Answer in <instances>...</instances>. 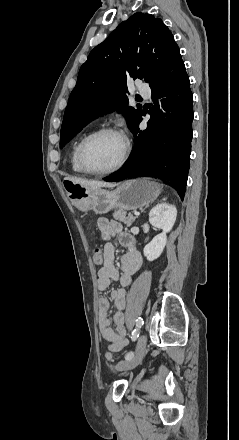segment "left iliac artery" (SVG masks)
I'll return each instance as SVG.
<instances>
[{
	"instance_id": "left-iliac-artery-1",
	"label": "left iliac artery",
	"mask_w": 239,
	"mask_h": 440,
	"mask_svg": "<svg viewBox=\"0 0 239 440\" xmlns=\"http://www.w3.org/2000/svg\"><path fill=\"white\" fill-rule=\"evenodd\" d=\"M143 319L141 318V317H139L137 320H136V328L133 330V332H132V335H131V339H132V341H136L137 340V338L139 337V334H140V329H141V327L143 326ZM133 355H134V353L132 352V351H130V352H128L126 355H125V359L126 360H130L132 357H133Z\"/></svg>"
}]
</instances>
